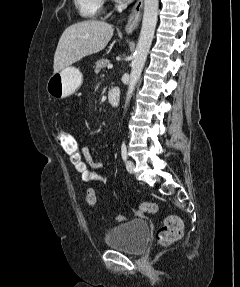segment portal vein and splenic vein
I'll return each mask as SVG.
<instances>
[{
	"label": "portal vein and splenic vein",
	"mask_w": 240,
	"mask_h": 287,
	"mask_svg": "<svg viewBox=\"0 0 240 287\" xmlns=\"http://www.w3.org/2000/svg\"><path fill=\"white\" fill-rule=\"evenodd\" d=\"M107 68H108V69H112V68H113V65H112V64H108V65H107Z\"/></svg>",
	"instance_id": "portal-vein-and-splenic-vein-1"
}]
</instances>
